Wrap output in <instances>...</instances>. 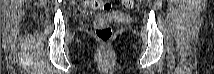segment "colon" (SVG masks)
Returning a JSON list of instances; mask_svg holds the SVG:
<instances>
[{
    "label": "colon",
    "instance_id": "colon-1",
    "mask_svg": "<svg viewBox=\"0 0 214 74\" xmlns=\"http://www.w3.org/2000/svg\"><path fill=\"white\" fill-rule=\"evenodd\" d=\"M122 6L126 9H130L134 6V0H122L120 1ZM85 6L95 10L110 11L112 4L109 1H86ZM95 31L97 37L101 41H108L113 35V25L108 19H100L95 24Z\"/></svg>",
    "mask_w": 214,
    "mask_h": 74
}]
</instances>
